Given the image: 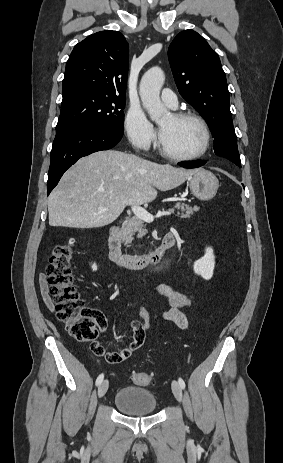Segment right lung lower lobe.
<instances>
[{
  "label": "right lung lower lobe",
  "instance_id": "obj_1",
  "mask_svg": "<svg viewBox=\"0 0 283 463\" xmlns=\"http://www.w3.org/2000/svg\"><path fill=\"white\" fill-rule=\"evenodd\" d=\"M122 136L123 133L97 126L77 127L56 133L50 154L47 195L79 158L114 147Z\"/></svg>",
  "mask_w": 283,
  "mask_h": 463
}]
</instances>
